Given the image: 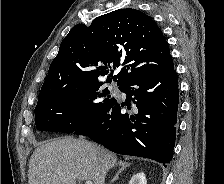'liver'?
<instances>
[{
    "label": "liver",
    "instance_id": "obj_1",
    "mask_svg": "<svg viewBox=\"0 0 224 184\" xmlns=\"http://www.w3.org/2000/svg\"><path fill=\"white\" fill-rule=\"evenodd\" d=\"M117 157L94 143L73 137L47 141L37 147L29 161V184H76L90 180L105 184Z\"/></svg>",
    "mask_w": 224,
    "mask_h": 184
}]
</instances>
